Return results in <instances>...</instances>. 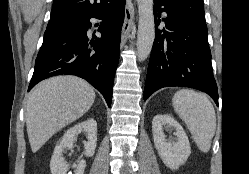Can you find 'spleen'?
Returning <instances> with one entry per match:
<instances>
[{
    "mask_svg": "<svg viewBox=\"0 0 249 174\" xmlns=\"http://www.w3.org/2000/svg\"><path fill=\"white\" fill-rule=\"evenodd\" d=\"M175 112L186 123L198 148L207 153L216 130V114L203 93L182 89L172 99Z\"/></svg>",
    "mask_w": 249,
    "mask_h": 174,
    "instance_id": "1",
    "label": "spleen"
}]
</instances>
